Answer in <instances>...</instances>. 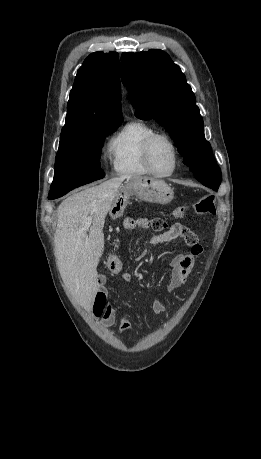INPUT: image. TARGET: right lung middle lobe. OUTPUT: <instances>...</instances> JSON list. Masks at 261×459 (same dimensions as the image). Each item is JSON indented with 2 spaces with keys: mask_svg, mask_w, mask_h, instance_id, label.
Instances as JSON below:
<instances>
[{
  "mask_svg": "<svg viewBox=\"0 0 261 459\" xmlns=\"http://www.w3.org/2000/svg\"><path fill=\"white\" fill-rule=\"evenodd\" d=\"M121 123L102 124L60 141L54 179L48 198H59L74 188L101 179L100 153L105 137Z\"/></svg>",
  "mask_w": 261,
  "mask_h": 459,
  "instance_id": "dd1d6c3e",
  "label": "right lung middle lobe"
}]
</instances>
